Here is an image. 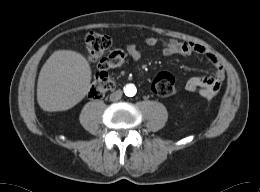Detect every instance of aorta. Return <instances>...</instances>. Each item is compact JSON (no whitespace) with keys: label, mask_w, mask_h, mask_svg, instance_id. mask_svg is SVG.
Masks as SVG:
<instances>
[{"label":"aorta","mask_w":260,"mask_h":192,"mask_svg":"<svg viewBox=\"0 0 260 192\" xmlns=\"http://www.w3.org/2000/svg\"><path fill=\"white\" fill-rule=\"evenodd\" d=\"M136 92H137V89L134 84H127L124 87V93L126 96L132 97L136 94Z\"/></svg>","instance_id":"762f6f07"}]
</instances>
